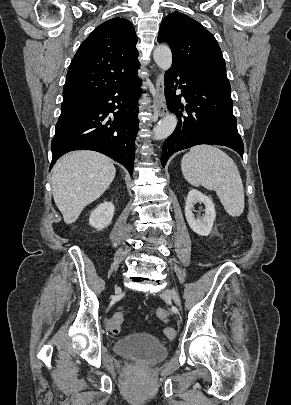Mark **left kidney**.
<instances>
[{"label":"left kidney","instance_id":"left-kidney-1","mask_svg":"<svg viewBox=\"0 0 291 405\" xmlns=\"http://www.w3.org/2000/svg\"><path fill=\"white\" fill-rule=\"evenodd\" d=\"M197 202L203 203L205 206V214L203 217L195 218L193 214V208ZM185 217L188 225L195 233L201 236H208L212 231L213 223L216 218L214 203L200 191L192 189L187 195Z\"/></svg>","mask_w":291,"mask_h":405}]
</instances>
